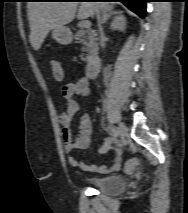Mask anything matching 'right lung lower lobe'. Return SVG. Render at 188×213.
Listing matches in <instances>:
<instances>
[{
  "instance_id": "98d812e1",
  "label": "right lung lower lobe",
  "mask_w": 188,
  "mask_h": 213,
  "mask_svg": "<svg viewBox=\"0 0 188 213\" xmlns=\"http://www.w3.org/2000/svg\"><path fill=\"white\" fill-rule=\"evenodd\" d=\"M100 1V0H98ZM105 1H118L125 4L130 10L138 14L141 18L145 16L147 0H105Z\"/></svg>"
}]
</instances>
